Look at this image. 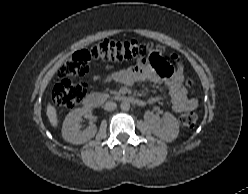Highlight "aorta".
I'll list each match as a JSON object with an SVG mask.
<instances>
[{"instance_id": "762f6f07", "label": "aorta", "mask_w": 248, "mask_h": 194, "mask_svg": "<svg viewBox=\"0 0 248 194\" xmlns=\"http://www.w3.org/2000/svg\"><path fill=\"white\" fill-rule=\"evenodd\" d=\"M120 108L122 111H128L130 109V103L128 101H123Z\"/></svg>"}]
</instances>
